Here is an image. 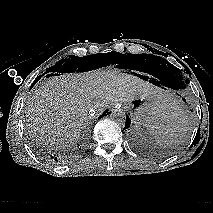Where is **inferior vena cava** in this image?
I'll list each match as a JSON object with an SVG mask.
<instances>
[{"label": "inferior vena cava", "mask_w": 213, "mask_h": 213, "mask_svg": "<svg viewBox=\"0 0 213 213\" xmlns=\"http://www.w3.org/2000/svg\"><path fill=\"white\" fill-rule=\"evenodd\" d=\"M88 113H89V115H91V116H92V115H94V113H95V112H94V110H92V109H91V110H89V112H88Z\"/></svg>", "instance_id": "602c4592"}]
</instances>
